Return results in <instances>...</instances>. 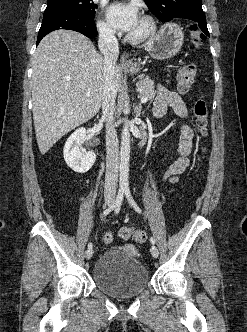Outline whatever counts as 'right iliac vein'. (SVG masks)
<instances>
[{
	"mask_svg": "<svg viewBox=\"0 0 247 332\" xmlns=\"http://www.w3.org/2000/svg\"><path fill=\"white\" fill-rule=\"evenodd\" d=\"M106 204H107L108 206H111V205H112V201H111V200H107V201H106ZM93 253H94V251H93L92 248H91V249H88V250L86 251V253H85V257H86V259H90V258L93 256Z\"/></svg>",
	"mask_w": 247,
	"mask_h": 332,
	"instance_id": "1",
	"label": "right iliac vein"
}]
</instances>
